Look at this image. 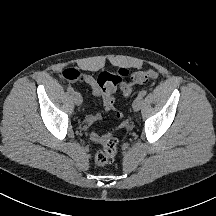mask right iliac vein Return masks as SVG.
<instances>
[{
	"label": "right iliac vein",
	"instance_id": "right-iliac-vein-1",
	"mask_svg": "<svg viewBox=\"0 0 216 216\" xmlns=\"http://www.w3.org/2000/svg\"><path fill=\"white\" fill-rule=\"evenodd\" d=\"M72 99H73V102L76 104V105H81L82 104V96L80 95V93L78 92H73L72 93Z\"/></svg>",
	"mask_w": 216,
	"mask_h": 216
}]
</instances>
